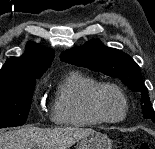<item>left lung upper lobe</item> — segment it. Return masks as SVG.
<instances>
[{"label": "left lung upper lobe", "instance_id": "5c2ea615", "mask_svg": "<svg viewBox=\"0 0 155 149\" xmlns=\"http://www.w3.org/2000/svg\"><path fill=\"white\" fill-rule=\"evenodd\" d=\"M60 59L119 78L130 90L141 97L143 117L155 123V111L149 99L148 89L143 82L140 68L126 53L105 47L99 40L93 39L82 47H75L63 52Z\"/></svg>", "mask_w": 155, "mask_h": 149}]
</instances>
